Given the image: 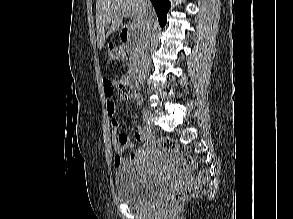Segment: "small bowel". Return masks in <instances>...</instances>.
Wrapping results in <instances>:
<instances>
[{"label": "small bowel", "mask_w": 293, "mask_h": 219, "mask_svg": "<svg viewBox=\"0 0 293 219\" xmlns=\"http://www.w3.org/2000/svg\"><path fill=\"white\" fill-rule=\"evenodd\" d=\"M124 80L125 79H122L121 83H123ZM115 85H116V83H114L112 81H109V80L104 81V93L107 98L106 107H107V111H108V114L111 119V126H112L113 133H114L113 144H114V149L116 152L115 164H116V166L120 167L122 165L131 164V163H135L136 161H138L139 158L147 150V148L149 146V140L142 130H137L132 137L129 136L128 134H125V133H118V130L121 128V125L116 118L115 104L112 99L113 94H114ZM128 99L135 101L139 105L142 104L141 96L134 91L128 92ZM133 141L141 142V143H143V146L140 149L136 150L134 153L127 155V156H124L123 152L134 146Z\"/></svg>", "instance_id": "small-bowel-1"}]
</instances>
